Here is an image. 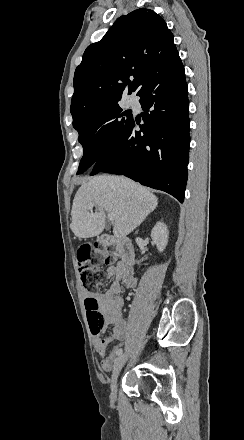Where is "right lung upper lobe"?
Segmentation results:
<instances>
[{
	"label": "right lung upper lobe",
	"instance_id": "1",
	"mask_svg": "<svg viewBox=\"0 0 244 440\" xmlns=\"http://www.w3.org/2000/svg\"><path fill=\"white\" fill-rule=\"evenodd\" d=\"M177 64L181 60L165 21L150 9L134 10L119 17L99 42L85 50L74 74L70 110L139 94L162 68Z\"/></svg>",
	"mask_w": 244,
	"mask_h": 440
}]
</instances>
